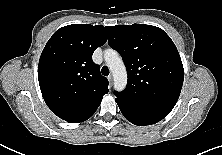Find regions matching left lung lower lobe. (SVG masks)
<instances>
[{
    "label": "left lung lower lobe",
    "mask_w": 222,
    "mask_h": 155,
    "mask_svg": "<svg viewBox=\"0 0 222 155\" xmlns=\"http://www.w3.org/2000/svg\"><path fill=\"white\" fill-rule=\"evenodd\" d=\"M117 104H118L122 114L124 115V117L127 120H129L131 123L138 125V126L155 124L164 118V117H161L158 115H153V114L133 110L121 103H118V102H117Z\"/></svg>",
    "instance_id": "1"
}]
</instances>
